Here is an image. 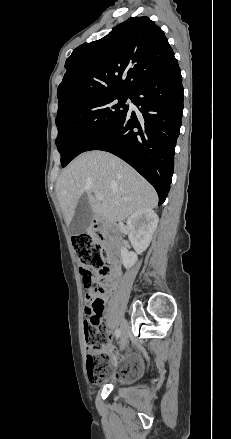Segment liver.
I'll return each mask as SVG.
<instances>
[{
	"label": "liver",
	"instance_id": "obj_1",
	"mask_svg": "<svg viewBox=\"0 0 231 439\" xmlns=\"http://www.w3.org/2000/svg\"><path fill=\"white\" fill-rule=\"evenodd\" d=\"M84 192L92 211L112 223L158 203L156 191L139 173L105 151L82 153L59 176L56 193L67 225ZM92 192L103 194L104 199L97 200Z\"/></svg>",
	"mask_w": 231,
	"mask_h": 439
}]
</instances>
